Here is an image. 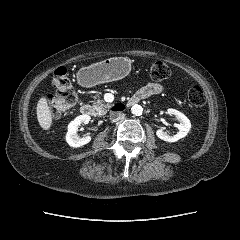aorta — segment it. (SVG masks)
Returning <instances> with one entry per match:
<instances>
[{
    "instance_id": "1",
    "label": "aorta",
    "mask_w": 240,
    "mask_h": 240,
    "mask_svg": "<svg viewBox=\"0 0 240 240\" xmlns=\"http://www.w3.org/2000/svg\"><path fill=\"white\" fill-rule=\"evenodd\" d=\"M131 112L135 116H140L143 112V108L140 105L135 104V105L132 106Z\"/></svg>"
}]
</instances>
